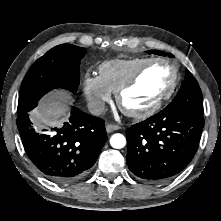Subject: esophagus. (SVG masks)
I'll return each mask as SVG.
<instances>
[{
    "mask_svg": "<svg viewBox=\"0 0 221 221\" xmlns=\"http://www.w3.org/2000/svg\"><path fill=\"white\" fill-rule=\"evenodd\" d=\"M118 129H120V126H119V125H115V124H107V125H106V131H107L108 133H111V132L116 131V130H118Z\"/></svg>",
    "mask_w": 221,
    "mask_h": 221,
    "instance_id": "esophagus-1",
    "label": "esophagus"
}]
</instances>
